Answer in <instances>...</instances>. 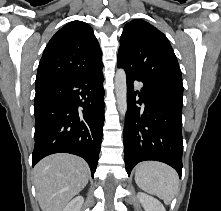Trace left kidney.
I'll return each mask as SVG.
<instances>
[{"label": "left kidney", "instance_id": "5707ae66", "mask_svg": "<svg viewBox=\"0 0 221 211\" xmlns=\"http://www.w3.org/2000/svg\"><path fill=\"white\" fill-rule=\"evenodd\" d=\"M138 198L145 211H166L161 202L152 196L139 192Z\"/></svg>", "mask_w": 221, "mask_h": 211}]
</instances>
